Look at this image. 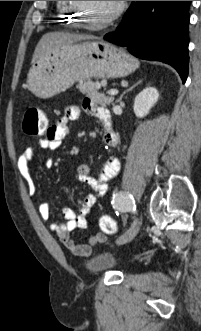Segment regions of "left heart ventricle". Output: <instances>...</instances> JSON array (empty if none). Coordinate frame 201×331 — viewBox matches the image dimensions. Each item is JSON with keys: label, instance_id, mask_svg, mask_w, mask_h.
<instances>
[{"label": "left heart ventricle", "instance_id": "b2bd125f", "mask_svg": "<svg viewBox=\"0 0 201 331\" xmlns=\"http://www.w3.org/2000/svg\"><path fill=\"white\" fill-rule=\"evenodd\" d=\"M83 16L91 23H96L110 15L118 1H79Z\"/></svg>", "mask_w": 201, "mask_h": 331}]
</instances>
